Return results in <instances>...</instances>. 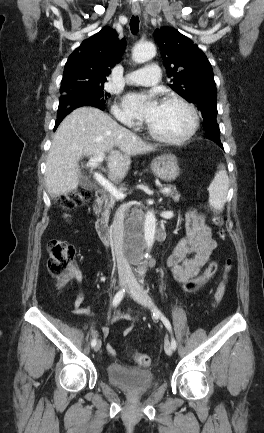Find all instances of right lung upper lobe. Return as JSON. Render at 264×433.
Masks as SVG:
<instances>
[{
  "mask_svg": "<svg viewBox=\"0 0 264 433\" xmlns=\"http://www.w3.org/2000/svg\"><path fill=\"white\" fill-rule=\"evenodd\" d=\"M125 47L124 39H119L115 30L103 27L69 56L60 92L104 86L110 68L120 60Z\"/></svg>",
  "mask_w": 264,
  "mask_h": 433,
  "instance_id": "cb5924a9",
  "label": "right lung upper lobe"
}]
</instances>
